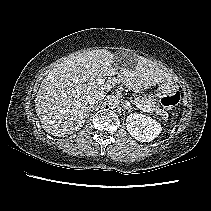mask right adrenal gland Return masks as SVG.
Wrapping results in <instances>:
<instances>
[{"label": "right adrenal gland", "instance_id": "2a0ac1e0", "mask_svg": "<svg viewBox=\"0 0 211 211\" xmlns=\"http://www.w3.org/2000/svg\"><path fill=\"white\" fill-rule=\"evenodd\" d=\"M91 109H93V106H88L87 117L89 116Z\"/></svg>", "mask_w": 211, "mask_h": 211}]
</instances>
